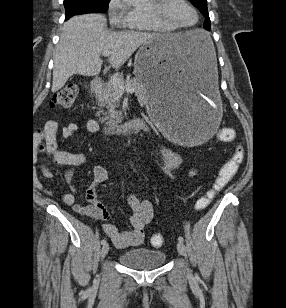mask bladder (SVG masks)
<instances>
[{
  "instance_id": "31cf9c89",
  "label": "bladder",
  "mask_w": 286,
  "mask_h": 308,
  "mask_svg": "<svg viewBox=\"0 0 286 308\" xmlns=\"http://www.w3.org/2000/svg\"><path fill=\"white\" fill-rule=\"evenodd\" d=\"M166 253L146 247H136L122 252L119 261L127 268L135 270H152L164 264Z\"/></svg>"
}]
</instances>
